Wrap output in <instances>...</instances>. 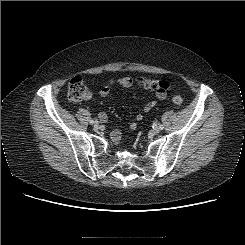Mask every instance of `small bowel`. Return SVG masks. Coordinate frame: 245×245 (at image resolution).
Returning <instances> with one entry per match:
<instances>
[{
  "mask_svg": "<svg viewBox=\"0 0 245 245\" xmlns=\"http://www.w3.org/2000/svg\"><path fill=\"white\" fill-rule=\"evenodd\" d=\"M100 95H101L102 97H111L113 94H112L111 90H110L108 87H103V88L100 90ZM156 95H157V98H158L159 100H163V99H165V97H166V93H165V94L156 93ZM90 97H91V94H90V93H87L86 96H85L86 99H90ZM155 105H156V101H150V102H148V103L142 108V110L137 114L136 120L131 121V122L129 123L130 129H136L137 126H138V121L143 120L144 117L146 116V114H147L152 108H154ZM99 118H100L102 121H105V120H107V115H106L105 113H100V114H99ZM111 138H112V141H113L114 143H116V142L119 140V134H118L117 132H115V133L112 134V137H111Z\"/></svg>",
  "mask_w": 245,
  "mask_h": 245,
  "instance_id": "c3829d8e",
  "label": "small bowel"
}]
</instances>
